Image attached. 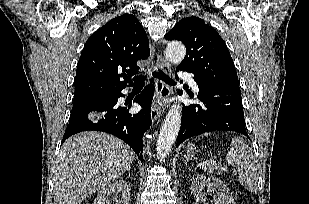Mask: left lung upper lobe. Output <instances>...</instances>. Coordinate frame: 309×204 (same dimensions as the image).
Listing matches in <instances>:
<instances>
[{"instance_id":"left-lung-upper-lobe-1","label":"left lung upper lobe","mask_w":309,"mask_h":204,"mask_svg":"<svg viewBox=\"0 0 309 204\" xmlns=\"http://www.w3.org/2000/svg\"><path fill=\"white\" fill-rule=\"evenodd\" d=\"M185 44L186 56L178 69L207 81L239 87L228 48L218 32L198 17H184L165 35Z\"/></svg>"}]
</instances>
